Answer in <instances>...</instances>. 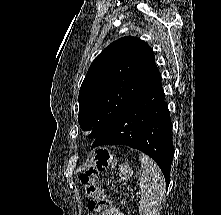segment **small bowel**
<instances>
[{"mask_svg": "<svg viewBox=\"0 0 221 215\" xmlns=\"http://www.w3.org/2000/svg\"><path fill=\"white\" fill-rule=\"evenodd\" d=\"M96 215H123L120 210L117 208H109L105 210L104 212Z\"/></svg>", "mask_w": 221, "mask_h": 215, "instance_id": "c3829d8e", "label": "small bowel"}]
</instances>
